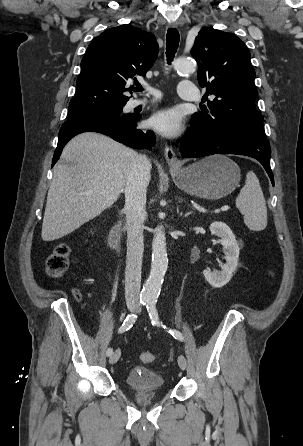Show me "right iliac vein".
<instances>
[{"label": "right iliac vein", "mask_w": 303, "mask_h": 446, "mask_svg": "<svg viewBox=\"0 0 303 446\" xmlns=\"http://www.w3.org/2000/svg\"><path fill=\"white\" fill-rule=\"evenodd\" d=\"M135 304L134 303H129L128 304V309L130 310V311H133L134 309H135ZM120 355H121V351L119 350V349H117L111 356H110V358H109V363L110 364H114V363H116L118 360H119V358H120Z\"/></svg>", "instance_id": "63e3f726"}]
</instances>
